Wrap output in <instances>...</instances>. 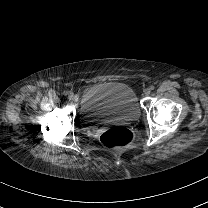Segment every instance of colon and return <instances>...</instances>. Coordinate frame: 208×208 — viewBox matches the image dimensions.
I'll return each mask as SVG.
<instances>
[{
	"instance_id": "1",
	"label": "colon",
	"mask_w": 208,
	"mask_h": 208,
	"mask_svg": "<svg viewBox=\"0 0 208 208\" xmlns=\"http://www.w3.org/2000/svg\"><path fill=\"white\" fill-rule=\"evenodd\" d=\"M102 142L110 148L128 145L132 140L131 132L122 127H115L102 134Z\"/></svg>"
}]
</instances>
